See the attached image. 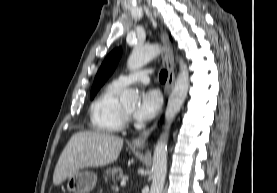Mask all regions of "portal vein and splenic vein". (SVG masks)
<instances>
[{
  "mask_svg": "<svg viewBox=\"0 0 277 193\" xmlns=\"http://www.w3.org/2000/svg\"><path fill=\"white\" fill-rule=\"evenodd\" d=\"M120 184H121V186L126 185V179H122Z\"/></svg>",
  "mask_w": 277,
  "mask_h": 193,
  "instance_id": "1",
  "label": "portal vein and splenic vein"
}]
</instances>
